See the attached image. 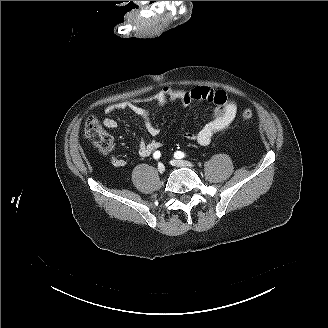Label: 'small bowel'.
Wrapping results in <instances>:
<instances>
[{"label":"small bowel","instance_id":"obj_1","mask_svg":"<svg viewBox=\"0 0 328 328\" xmlns=\"http://www.w3.org/2000/svg\"><path fill=\"white\" fill-rule=\"evenodd\" d=\"M151 100H155L160 104H164L167 101L180 102L184 106H188L192 101H204L213 104L212 119L200 130L184 133V137L187 140L196 141L201 146L209 145L216 133L227 129L234 121L238 110L236 103L229 100L224 92L199 87L192 90L164 88L151 98L125 100L110 104L105 108V113L111 114L115 111L124 110L131 111L143 119L146 131L155 137L160 134L161 129L154 124L149 110L143 106L144 103ZM102 123L108 129H115L118 126L117 121L111 117L104 118ZM161 145V142L157 139L141 141L138 146V154L141 157H148L152 153L154 154ZM110 160L114 167H124L127 164L124 158L114 155L111 156Z\"/></svg>","mask_w":328,"mask_h":328}]
</instances>
